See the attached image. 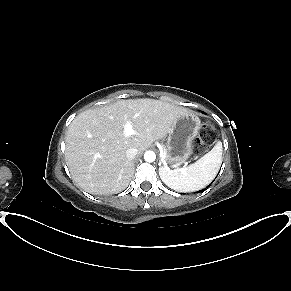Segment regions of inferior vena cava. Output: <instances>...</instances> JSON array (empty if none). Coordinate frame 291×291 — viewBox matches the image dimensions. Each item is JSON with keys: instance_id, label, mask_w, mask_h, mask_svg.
Here are the masks:
<instances>
[{"instance_id": "602c4592", "label": "inferior vena cava", "mask_w": 291, "mask_h": 291, "mask_svg": "<svg viewBox=\"0 0 291 291\" xmlns=\"http://www.w3.org/2000/svg\"><path fill=\"white\" fill-rule=\"evenodd\" d=\"M138 150L135 147L129 148L126 150V157L130 160L134 159V157L137 155Z\"/></svg>"}]
</instances>
